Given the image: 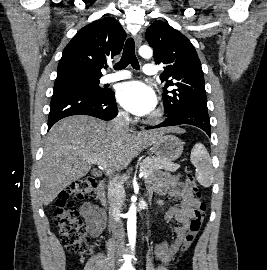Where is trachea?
<instances>
[{"instance_id": "1", "label": "trachea", "mask_w": 267, "mask_h": 270, "mask_svg": "<svg viewBox=\"0 0 267 270\" xmlns=\"http://www.w3.org/2000/svg\"><path fill=\"white\" fill-rule=\"evenodd\" d=\"M129 64H131L133 68L137 70L139 69V63L135 55V42L133 38H128L126 40L121 60L114 66V68L116 70H121L126 68Z\"/></svg>"}]
</instances>
